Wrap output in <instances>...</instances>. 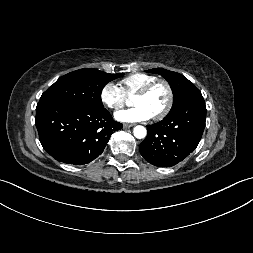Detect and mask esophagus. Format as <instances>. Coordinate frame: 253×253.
<instances>
[{
  "label": "esophagus",
  "mask_w": 253,
  "mask_h": 253,
  "mask_svg": "<svg viewBox=\"0 0 253 253\" xmlns=\"http://www.w3.org/2000/svg\"><path fill=\"white\" fill-rule=\"evenodd\" d=\"M133 126H135V124H133V123H124L123 124L124 128H130V127H133Z\"/></svg>",
  "instance_id": "1"
}]
</instances>
